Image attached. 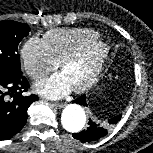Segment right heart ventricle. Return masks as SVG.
Here are the masks:
<instances>
[{
	"label": "right heart ventricle",
	"instance_id": "right-heart-ventricle-1",
	"mask_svg": "<svg viewBox=\"0 0 153 153\" xmlns=\"http://www.w3.org/2000/svg\"><path fill=\"white\" fill-rule=\"evenodd\" d=\"M99 38V33L89 28L53 29L44 35V42L52 57L61 63L88 42Z\"/></svg>",
	"mask_w": 153,
	"mask_h": 153
}]
</instances>
